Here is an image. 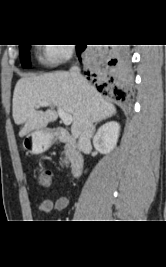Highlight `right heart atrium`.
Wrapping results in <instances>:
<instances>
[{"mask_svg":"<svg viewBox=\"0 0 166 267\" xmlns=\"http://www.w3.org/2000/svg\"><path fill=\"white\" fill-rule=\"evenodd\" d=\"M71 52L70 46L46 43L42 49V56L46 63L55 65L67 59Z\"/></svg>","mask_w":166,"mask_h":267,"instance_id":"right-heart-atrium-1","label":"right heart atrium"}]
</instances>
